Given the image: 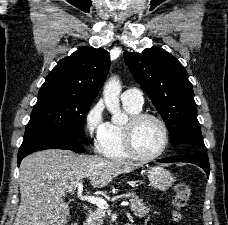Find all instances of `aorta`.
I'll return each instance as SVG.
<instances>
[{
    "mask_svg": "<svg viewBox=\"0 0 228 225\" xmlns=\"http://www.w3.org/2000/svg\"><path fill=\"white\" fill-rule=\"evenodd\" d=\"M120 92L121 82L119 78L117 76H111L104 86L103 96L106 108L112 115L111 123L113 125H125V123H128V115L122 113L120 108Z\"/></svg>",
    "mask_w": 228,
    "mask_h": 225,
    "instance_id": "762f6f07",
    "label": "aorta"
}]
</instances>
